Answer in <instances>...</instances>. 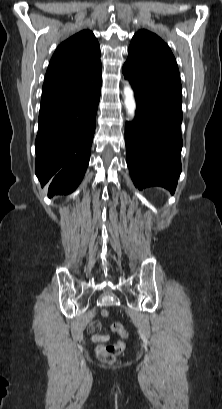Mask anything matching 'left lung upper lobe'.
Returning <instances> with one entry per match:
<instances>
[{"mask_svg":"<svg viewBox=\"0 0 222 409\" xmlns=\"http://www.w3.org/2000/svg\"><path fill=\"white\" fill-rule=\"evenodd\" d=\"M124 75L182 101L178 66L170 48L156 34L138 31L132 38Z\"/></svg>","mask_w":222,"mask_h":409,"instance_id":"left-lung-upper-lobe-1","label":"left lung upper lobe"}]
</instances>
